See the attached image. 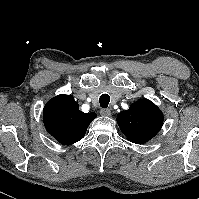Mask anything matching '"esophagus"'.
I'll return each instance as SVG.
<instances>
[{"mask_svg":"<svg viewBox=\"0 0 199 199\" xmlns=\"http://www.w3.org/2000/svg\"><path fill=\"white\" fill-rule=\"evenodd\" d=\"M101 115L103 116H110L111 115V110L110 109H102L100 111Z\"/></svg>","mask_w":199,"mask_h":199,"instance_id":"obj_1","label":"esophagus"}]
</instances>
